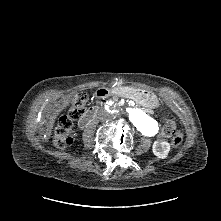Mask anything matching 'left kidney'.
Masks as SVG:
<instances>
[{"instance_id": "left-kidney-1", "label": "left kidney", "mask_w": 221, "mask_h": 221, "mask_svg": "<svg viewBox=\"0 0 221 221\" xmlns=\"http://www.w3.org/2000/svg\"><path fill=\"white\" fill-rule=\"evenodd\" d=\"M152 151L158 158L165 159L170 151V144L167 141L156 140L153 143Z\"/></svg>"}]
</instances>
